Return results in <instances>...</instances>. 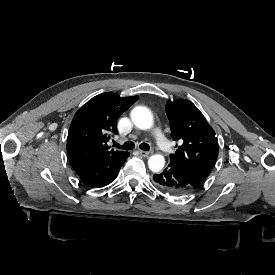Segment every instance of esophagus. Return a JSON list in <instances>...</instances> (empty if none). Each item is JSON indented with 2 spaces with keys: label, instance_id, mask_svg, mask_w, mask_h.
Here are the masks:
<instances>
[{
  "label": "esophagus",
  "instance_id": "34e87169",
  "mask_svg": "<svg viewBox=\"0 0 275 275\" xmlns=\"http://www.w3.org/2000/svg\"><path fill=\"white\" fill-rule=\"evenodd\" d=\"M139 153L143 157H148L149 156V152H147V151L139 150Z\"/></svg>",
  "mask_w": 275,
  "mask_h": 275
}]
</instances>
